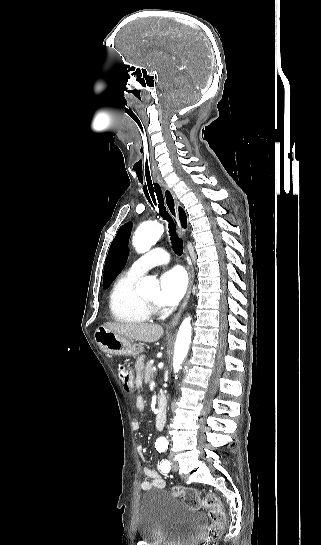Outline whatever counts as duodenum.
Wrapping results in <instances>:
<instances>
[{"mask_svg": "<svg viewBox=\"0 0 321 545\" xmlns=\"http://www.w3.org/2000/svg\"><path fill=\"white\" fill-rule=\"evenodd\" d=\"M166 397L163 394H159L157 397V415L155 419L156 428L161 430L164 427L166 420Z\"/></svg>", "mask_w": 321, "mask_h": 545, "instance_id": "duodenum-1", "label": "duodenum"}]
</instances>
